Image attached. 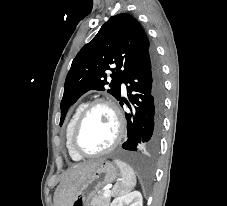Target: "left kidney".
<instances>
[{
    "label": "left kidney",
    "instance_id": "obj_1",
    "mask_svg": "<svg viewBox=\"0 0 227 206\" xmlns=\"http://www.w3.org/2000/svg\"><path fill=\"white\" fill-rule=\"evenodd\" d=\"M143 198L140 192L134 191L116 197L110 206H142Z\"/></svg>",
    "mask_w": 227,
    "mask_h": 206
}]
</instances>
